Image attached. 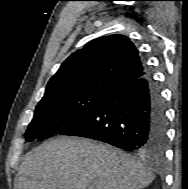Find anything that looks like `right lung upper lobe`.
Returning <instances> with one entry per match:
<instances>
[{
    "instance_id": "right-lung-upper-lobe-1",
    "label": "right lung upper lobe",
    "mask_w": 188,
    "mask_h": 189,
    "mask_svg": "<svg viewBox=\"0 0 188 189\" xmlns=\"http://www.w3.org/2000/svg\"><path fill=\"white\" fill-rule=\"evenodd\" d=\"M145 74L138 50L128 37L104 36L70 55L49 80L44 96L95 88L113 91Z\"/></svg>"
}]
</instances>
